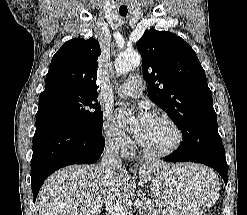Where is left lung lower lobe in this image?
I'll return each mask as SVG.
<instances>
[{
    "instance_id": "left-lung-lower-lobe-1",
    "label": "left lung lower lobe",
    "mask_w": 247,
    "mask_h": 215,
    "mask_svg": "<svg viewBox=\"0 0 247 215\" xmlns=\"http://www.w3.org/2000/svg\"><path fill=\"white\" fill-rule=\"evenodd\" d=\"M168 162H196L215 169L227 184V162L225 149L218 131L193 134L188 143L164 158Z\"/></svg>"
}]
</instances>
